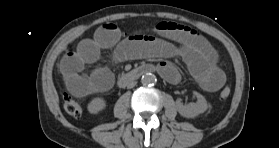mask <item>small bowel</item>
Here are the masks:
<instances>
[{
	"label": "small bowel",
	"instance_id": "obj_1",
	"mask_svg": "<svg viewBox=\"0 0 279 148\" xmlns=\"http://www.w3.org/2000/svg\"><path fill=\"white\" fill-rule=\"evenodd\" d=\"M152 31L165 39L147 34L123 36L115 24L101 25L93 37L81 40L75 50L62 57L59 69L68 90L77 96L108 90L113 84L109 70L100 68L88 75L84 69L99 59L103 49L111 47L114 62L160 58L158 71L170 83H178L181 74L167 59L178 57L204 90L215 92L224 85L226 77L218 65V55L197 31L174 22H159Z\"/></svg>",
	"mask_w": 279,
	"mask_h": 148
}]
</instances>
